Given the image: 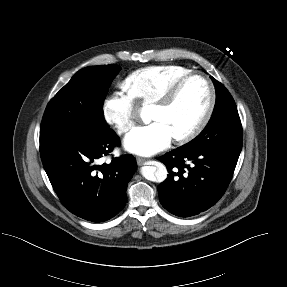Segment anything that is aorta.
<instances>
[{
  "mask_svg": "<svg viewBox=\"0 0 287 287\" xmlns=\"http://www.w3.org/2000/svg\"><path fill=\"white\" fill-rule=\"evenodd\" d=\"M142 176L152 182H163L167 178V169L162 163L152 166H144L141 168Z\"/></svg>",
  "mask_w": 287,
  "mask_h": 287,
  "instance_id": "obj_1",
  "label": "aorta"
}]
</instances>
